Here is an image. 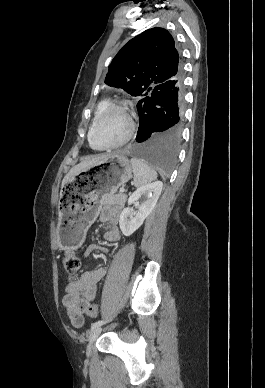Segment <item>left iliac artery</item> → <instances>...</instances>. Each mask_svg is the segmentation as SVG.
Returning <instances> with one entry per match:
<instances>
[{
    "label": "left iliac artery",
    "instance_id": "obj_1",
    "mask_svg": "<svg viewBox=\"0 0 265 388\" xmlns=\"http://www.w3.org/2000/svg\"><path fill=\"white\" fill-rule=\"evenodd\" d=\"M107 321H104V320H99V321H97V322H94L92 325H91V329H94V328H96V327H98V326H101V325H103L104 323H106Z\"/></svg>",
    "mask_w": 265,
    "mask_h": 388
}]
</instances>
